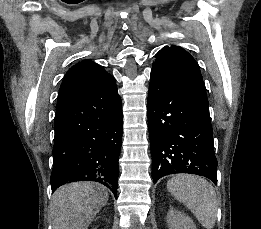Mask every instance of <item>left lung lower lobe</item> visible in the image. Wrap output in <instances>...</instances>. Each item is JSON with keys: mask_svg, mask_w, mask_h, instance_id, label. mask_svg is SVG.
Returning <instances> with one entry per match:
<instances>
[{"mask_svg": "<svg viewBox=\"0 0 261 229\" xmlns=\"http://www.w3.org/2000/svg\"><path fill=\"white\" fill-rule=\"evenodd\" d=\"M148 128L154 181L170 174L189 173L217 183L213 130L201 75L153 65Z\"/></svg>", "mask_w": 261, "mask_h": 229, "instance_id": "1", "label": "left lung lower lobe"}]
</instances>
